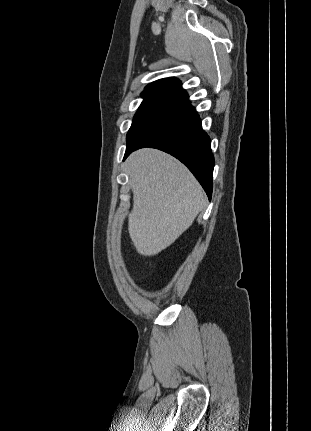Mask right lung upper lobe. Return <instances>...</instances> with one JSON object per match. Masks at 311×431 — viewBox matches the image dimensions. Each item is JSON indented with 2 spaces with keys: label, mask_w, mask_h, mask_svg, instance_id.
<instances>
[{
  "label": "right lung upper lobe",
  "mask_w": 311,
  "mask_h": 431,
  "mask_svg": "<svg viewBox=\"0 0 311 431\" xmlns=\"http://www.w3.org/2000/svg\"><path fill=\"white\" fill-rule=\"evenodd\" d=\"M145 91H156L165 94L178 96L179 98L188 97V94L181 87L180 80L176 78H165L148 84Z\"/></svg>",
  "instance_id": "cb5924a9"
}]
</instances>
